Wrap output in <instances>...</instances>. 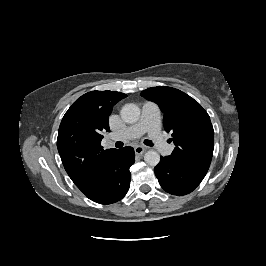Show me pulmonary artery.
<instances>
[{"mask_svg":"<svg viewBox=\"0 0 266 266\" xmlns=\"http://www.w3.org/2000/svg\"><path fill=\"white\" fill-rule=\"evenodd\" d=\"M145 132L148 133L160 152L164 154H170L172 152L174 146L165 141L161 132L160 109L153 102L144 103L141 117L137 123L126 127L121 132L113 133L112 137L124 140L134 139L140 137Z\"/></svg>","mask_w":266,"mask_h":266,"instance_id":"obj_1","label":"pulmonary artery"}]
</instances>
